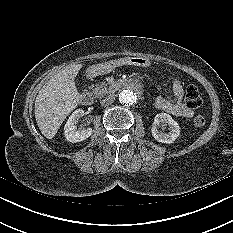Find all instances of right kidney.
Masks as SVG:
<instances>
[{
    "mask_svg": "<svg viewBox=\"0 0 233 233\" xmlns=\"http://www.w3.org/2000/svg\"><path fill=\"white\" fill-rule=\"evenodd\" d=\"M82 116H84V111L82 109H77L67 120L64 126V135L68 142H81L91 136L93 131L92 128H84L82 130L77 129L76 124Z\"/></svg>",
    "mask_w": 233,
    "mask_h": 233,
    "instance_id": "ca27d5eb",
    "label": "right kidney"
}]
</instances>
